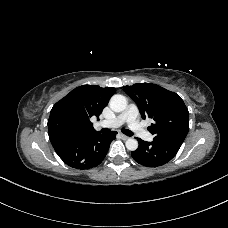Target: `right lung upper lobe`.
<instances>
[{
	"label": "right lung upper lobe",
	"instance_id": "cb5924a9",
	"mask_svg": "<svg viewBox=\"0 0 228 228\" xmlns=\"http://www.w3.org/2000/svg\"><path fill=\"white\" fill-rule=\"evenodd\" d=\"M114 92L113 87L82 85L58 101L51 109L48 119L51 143L98 133L90 118L102 112Z\"/></svg>",
	"mask_w": 228,
	"mask_h": 228
}]
</instances>
